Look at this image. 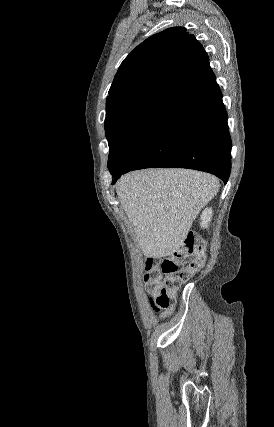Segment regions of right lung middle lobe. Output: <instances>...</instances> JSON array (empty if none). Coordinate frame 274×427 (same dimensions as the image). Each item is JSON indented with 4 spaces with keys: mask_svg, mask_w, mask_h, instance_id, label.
Listing matches in <instances>:
<instances>
[{
    "mask_svg": "<svg viewBox=\"0 0 274 427\" xmlns=\"http://www.w3.org/2000/svg\"><path fill=\"white\" fill-rule=\"evenodd\" d=\"M176 101L161 94L146 95L106 111L108 166L126 164L147 140Z\"/></svg>",
    "mask_w": 274,
    "mask_h": 427,
    "instance_id": "dd1d6c3e",
    "label": "right lung middle lobe"
}]
</instances>
